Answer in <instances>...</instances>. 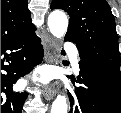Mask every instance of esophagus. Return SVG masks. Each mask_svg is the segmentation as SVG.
<instances>
[{
  "mask_svg": "<svg viewBox=\"0 0 121 113\" xmlns=\"http://www.w3.org/2000/svg\"><path fill=\"white\" fill-rule=\"evenodd\" d=\"M56 56V44L54 39L50 36H46L45 40V60L48 63H53L55 61ZM59 91V83L54 81L45 90L44 96L46 100H51L55 97V95Z\"/></svg>",
  "mask_w": 121,
  "mask_h": 113,
  "instance_id": "1",
  "label": "esophagus"
}]
</instances>
